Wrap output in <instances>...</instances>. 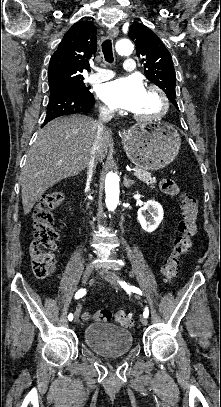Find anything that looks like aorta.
<instances>
[{
  "instance_id": "1",
  "label": "aorta",
  "mask_w": 221,
  "mask_h": 407,
  "mask_svg": "<svg viewBox=\"0 0 221 407\" xmlns=\"http://www.w3.org/2000/svg\"><path fill=\"white\" fill-rule=\"evenodd\" d=\"M116 51L119 55L130 54L133 44L129 39H122L116 43ZM105 203L109 211H114L119 203V179L118 176L109 172L105 179Z\"/></svg>"
}]
</instances>
